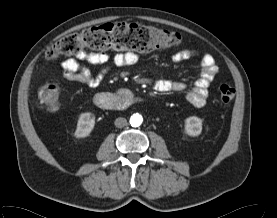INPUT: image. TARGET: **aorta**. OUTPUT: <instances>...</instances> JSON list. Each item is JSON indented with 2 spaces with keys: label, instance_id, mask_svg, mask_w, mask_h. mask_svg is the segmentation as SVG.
Segmentation results:
<instances>
[{
  "label": "aorta",
  "instance_id": "762f6f07",
  "mask_svg": "<svg viewBox=\"0 0 277 218\" xmlns=\"http://www.w3.org/2000/svg\"><path fill=\"white\" fill-rule=\"evenodd\" d=\"M143 118L140 114L136 113L130 117V124L132 127H138L142 124Z\"/></svg>",
  "mask_w": 277,
  "mask_h": 218
}]
</instances>
